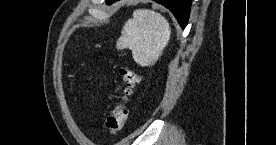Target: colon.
Returning <instances> with one entry per match:
<instances>
[{
	"instance_id": "1",
	"label": "colon",
	"mask_w": 276,
	"mask_h": 145,
	"mask_svg": "<svg viewBox=\"0 0 276 145\" xmlns=\"http://www.w3.org/2000/svg\"><path fill=\"white\" fill-rule=\"evenodd\" d=\"M120 77L123 82V95L105 121V130L110 135H116L122 130L128 117L127 101L140 80V75L130 68H121Z\"/></svg>"
}]
</instances>
